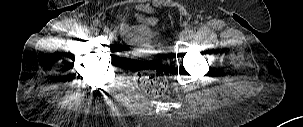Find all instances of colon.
I'll list each match as a JSON object with an SVG mask.
<instances>
[{
    "label": "colon",
    "mask_w": 303,
    "mask_h": 127,
    "mask_svg": "<svg viewBox=\"0 0 303 127\" xmlns=\"http://www.w3.org/2000/svg\"><path fill=\"white\" fill-rule=\"evenodd\" d=\"M164 63L142 61L137 65L136 85L150 96H161L167 89V77L163 70Z\"/></svg>",
    "instance_id": "obj_1"
}]
</instances>
